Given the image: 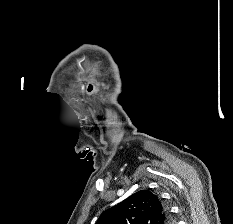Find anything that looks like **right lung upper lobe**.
<instances>
[{"mask_svg": "<svg viewBox=\"0 0 233 224\" xmlns=\"http://www.w3.org/2000/svg\"><path fill=\"white\" fill-rule=\"evenodd\" d=\"M173 220L159 198L141 190L106 210L96 224H172Z\"/></svg>", "mask_w": 233, "mask_h": 224, "instance_id": "obj_1", "label": "right lung upper lobe"}]
</instances>
